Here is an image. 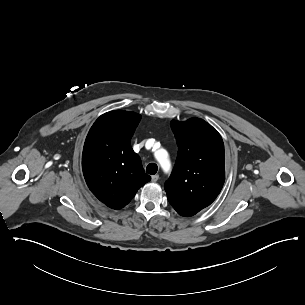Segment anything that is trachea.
I'll return each instance as SVG.
<instances>
[{"label":"trachea","instance_id":"1","mask_svg":"<svg viewBox=\"0 0 305 305\" xmlns=\"http://www.w3.org/2000/svg\"><path fill=\"white\" fill-rule=\"evenodd\" d=\"M157 171H158V166L155 163H150L146 168V172L150 175L156 174Z\"/></svg>","mask_w":305,"mask_h":305}]
</instances>
